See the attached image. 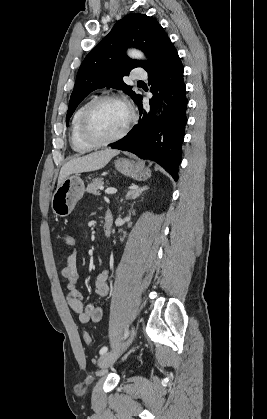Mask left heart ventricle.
<instances>
[{"label":"left heart ventricle","instance_id":"b2bd125f","mask_svg":"<svg viewBox=\"0 0 267 419\" xmlns=\"http://www.w3.org/2000/svg\"><path fill=\"white\" fill-rule=\"evenodd\" d=\"M128 117L124 104L115 101L100 103L90 113L89 132L98 139L110 138L122 130Z\"/></svg>","mask_w":267,"mask_h":419}]
</instances>
